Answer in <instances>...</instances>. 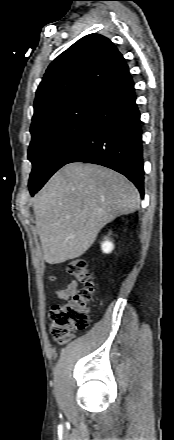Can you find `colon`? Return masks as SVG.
Returning <instances> with one entry per match:
<instances>
[{
	"mask_svg": "<svg viewBox=\"0 0 174 440\" xmlns=\"http://www.w3.org/2000/svg\"><path fill=\"white\" fill-rule=\"evenodd\" d=\"M68 272L84 284V287L65 302L56 303L49 311V330L58 344H66L72 331L83 330L89 324V303L94 294L93 276L85 261L72 259Z\"/></svg>",
	"mask_w": 174,
	"mask_h": 440,
	"instance_id": "5ec220e1",
	"label": "colon"
}]
</instances>
